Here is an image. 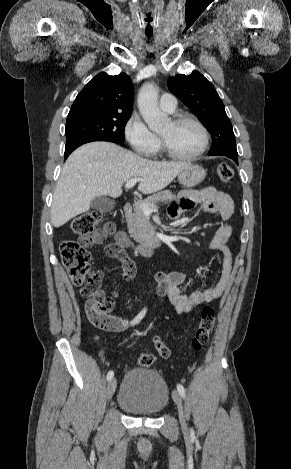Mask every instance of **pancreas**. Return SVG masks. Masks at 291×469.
Masks as SVG:
<instances>
[{
	"mask_svg": "<svg viewBox=\"0 0 291 469\" xmlns=\"http://www.w3.org/2000/svg\"><path fill=\"white\" fill-rule=\"evenodd\" d=\"M175 200V195L165 190L147 197L135 204L133 213L127 217V227L133 239L143 246H151L157 241L149 219L142 211V204L155 206L159 202L169 203Z\"/></svg>",
	"mask_w": 291,
	"mask_h": 469,
	"instance_id": "cf45deb5",
	"label": "pancreas"
}]
</instances>
